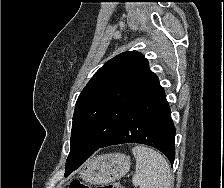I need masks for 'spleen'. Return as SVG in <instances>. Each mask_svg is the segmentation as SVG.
<instances>
[{
    "label": "spleen",
    "instance_id": "spleen-1",
    "mask_svg": "<svg viewBox=\"0 0 224 188\" xmlns=\"http://www.w3.org/2000/svg\"><path fill=\"white\" fill-rule=\"evenodd\" d=\"M136 170L132 182L139 188H171L173 184L167 160L157 151L143 145L132 149Z\"/></svg>",
    "mask_w": 224,
    "mask_h": 188
}]
</instances>
